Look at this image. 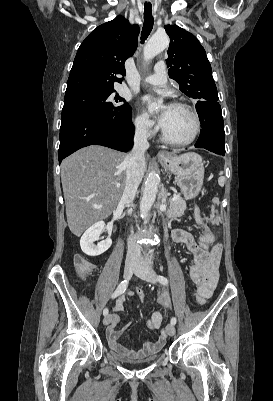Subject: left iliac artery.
Instances as JSON below:
<instances>
[{
  "mask_svg": "<svg viewBox=\"0 0 273 401\" xmlns=\"http://www.w3.org/2000/svg\"><path fill=\"white\" fill-rule=\"evenodd\" d=\"M157 279H158V281H159L160 283H162V284H167V283H168L167 278L164 277V276H162V275L157 276ZM171 324H173V325L176 324V318H175V317H172V318H171Z\"/></svg>",
  "mask_w": 273,
  "mask_h": 401,
  "instance_id": "obj_1",
  "label": "left iliac artery"
}]
</instances>
